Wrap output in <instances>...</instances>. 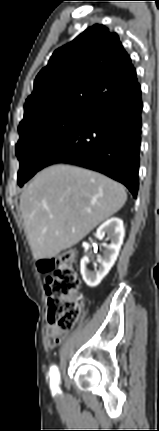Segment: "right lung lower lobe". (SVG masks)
Returning a JSON list of instances; mask_svg holds the SVG:
<instances>
[{"label": "right lung lower lobe", "instance_id": "obj_1", "mask_svg": "<svg viewBox=\"0 0 159 431\" xmlns=\"http://www.w3.org/2000/svg\"><path fill=\"white\" fill-rule=\"evenodd\" d=\"M142 108L138 84L88 114L49 150L41 169L70 163L95 170L121 182L136 197Z\"/></svg>", "mask_w": 159, "mask_h": 431}]
</instances>
